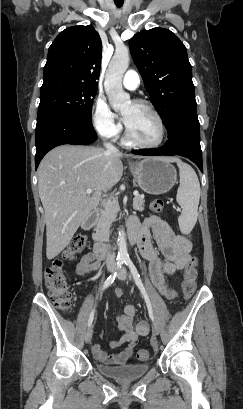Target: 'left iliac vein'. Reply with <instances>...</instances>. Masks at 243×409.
<instances>
[{
	"mask_svg": "<svg viewBox=\"0 0 243 409\" xmlns=\"http://www.w3.org/2000/svg\"><path fill=\"white\" fill-rule=\"evenodd\" d=\"M118 278L121 280H126L127 279V271L125 268H121L118 272ZM153 332L154 334L158 335L160 332L159 326L156 322H153ZM154 349L157 350V347L154 346Z\"/></svg>",
	"mask_w": 243,
	"mask_h": 409,
	"instance_id": "left-iliac-vein-1",
	"label": "left iliac vein"
}]
</instances>
